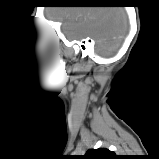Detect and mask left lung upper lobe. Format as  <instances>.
Returning a JSON list of instances; mask_svg holds the SVG:
<instances>
[{
	"instance_id": "1",
	"label": "left lung upper lobe",
	"mask_w": 159,
	"mask_h": 159,
	"mask_svg": "<svg viewBox=\"0 0 159 159\" xmlns=\"http://www.w3.org/2000/svg\"><path fill=\"white\" fill-rule=\"evenodd\" d=\"M79 159H120V157L106 148H99L88 150Z\"/></svg>"
}]
</instances>
